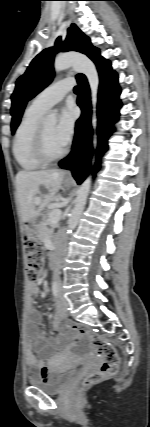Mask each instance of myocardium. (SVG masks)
<instances>
[{
  "label": "myocardium",
  "instance_id": "myocardium-1",
  "mask_svg": "<svg viewBox=\"0 0 150 427\" xmlns=\"http://www.w3.org/2000/svg\"><path fill=\"white\" fill-rule=\"evenodd\" d=\"M66 152H67V149L63 148V150L60 153L56 155H50L47 152L46 146H45L43 126L39 125L35 134L34 146H33V153L36 160L43 165H48L63 158Z\"/></svg>",
  "mask_w": 150,
  "mask_h": 427
}]
</instances>
